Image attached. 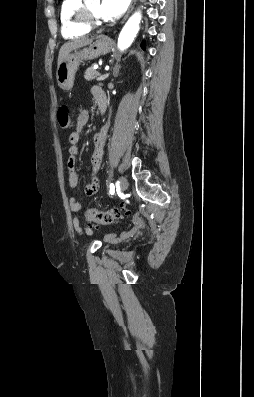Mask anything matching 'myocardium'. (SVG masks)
Instances as JSON below:
<instances>
[{"instance_id":"myocardium-1","label":"myocardium","mask_w":254,"mask_h":397,"mask_svg":"<svg viewBox=\"0 0 254 397\" xmlns=\"http://www.w3.org/2000/svg\"><path fill=\"white\" fill-rule=\"evenodd\" d=\"M78 18L80 23L88 28L89 30H94L97 28H100L104 25V22L100 19H98L90 10L88 7L87 3L82 2L79 12H78Z\"/></svg>"}]
</instances>
